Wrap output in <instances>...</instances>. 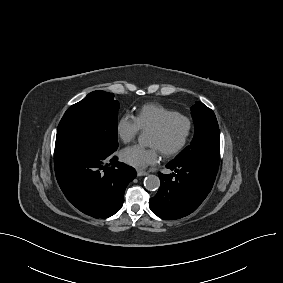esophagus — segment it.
Returning <instances> with one entry per match:
<instances>
[{
    "instance_id": "34e87169",
    "label": "esophagus",
    "mask_w": 283,
    "mask_h": 283,
    "mask_svg": "<svg viewBox=\"0 0 283 283\" xmlns=\"http://www.w3.org/2000/svg\"><path fill=\"white\" fill-rule=\"evenodd\" d=\"M137 175L140 177V176H146V175H148V173L147 172H145V171H142V170H137Z\"/></svg>"
}]
</instances>
